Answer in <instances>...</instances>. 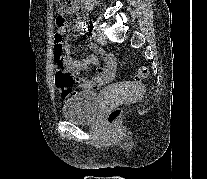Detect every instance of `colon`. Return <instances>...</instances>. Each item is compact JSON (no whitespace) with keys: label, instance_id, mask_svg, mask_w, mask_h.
Returning <instances> with one entry per match:
<instances>
[{"label":"colon","instance_id":"1","mask_svg":"<svg viewBox=\"0 0 207 179\" xmlns=\"http://www.w3.org/2000/svg\"><path fill=\"white\" fill-rule=\"evenodd\" d=\"M59 11L63 12L68 0H55ZM54 63L56 67L55 82L57 88L60 90L62 97H69L76 92L74 84L76 78L70 73L66 58L64 55V45L62 35L55 33L54 36ZM148 68L142 66L138 68L135 78L137 80L145 79L148 76ZM122 114L121 109H114L108 115V121L114 125Z\"/></svg>","mask_w":207,"mask_h":179}]
</instances>
